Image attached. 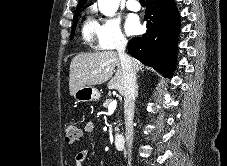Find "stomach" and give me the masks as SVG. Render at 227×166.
Segmentation results:
<instances>
[{"instance_id":"stomach-1","label":"stomach","mask_w":227,"mask_h":166,"mask_svg":"<svg viewBox=\"0 0 227 166\" xmlns=\"http://www.w3.org/2000/svg\"><path fill=\"white\" fill-rule=\"evenodd\" d=\"M100 96V92L92 86L82 87L73 95L77 102L97 101L99 100Z\"/></svg>"}]
</instances>
